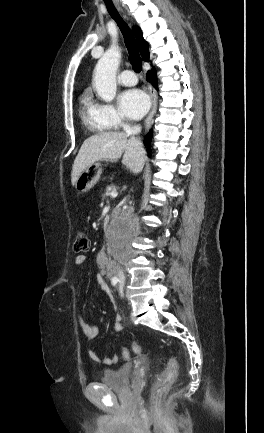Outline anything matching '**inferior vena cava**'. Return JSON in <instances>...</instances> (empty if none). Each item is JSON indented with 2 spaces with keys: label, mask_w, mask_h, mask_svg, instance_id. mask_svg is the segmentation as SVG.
Masks as SVG:
<instances>
[{
  "label": "inferior vena cava",
  "mask_w": 264,
  "mask_h": 433,
  "mask_svg": "<svg viewBox=\"0 0 264 433\" xmlns=\"http://www.w3.org/2000/svg\"><path fill=\"white\" fill-rule=\"evenodd\" d=\"M124 130H125L127 135L135 136L141 132V126L140 125L130 126V125L126 124V125H124ZM116 252H121V251H116ZM118 276L120 278H124V273L121 269H119Z\"/></svg>",
  "instance_id": "inferior-vena-cava-1"
}]
</instances>
